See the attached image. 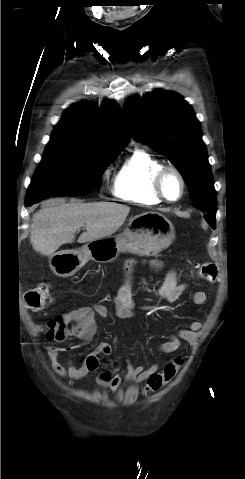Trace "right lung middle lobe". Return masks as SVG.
<instances>
[{"label": "right lung middle lobe", "instance_id": "1", "mask_svg": "<svg viewBox=\"0 0 245 479\" xmlns=\"http://www.w3.org/2000/svg\"><path fill=\"white\" fill-rule=\"evenodd\" d=\"M119 152L51 137L29 186L26 202H38L52 196L91 193L110 160Z\"/></svg>", "mask_w": 245, "mask_h": 479}]
</instances>
